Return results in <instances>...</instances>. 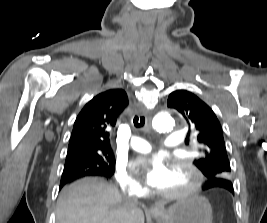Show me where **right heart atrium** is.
I'll use <instances>...</instances> for the list:
<instances>
[{
  "label": "right heart atrium",
  "mask_w": 267,
  "mask_h": 223,
  "mask_svg": "<svg viewBox=\"0 0 267 223\" xmlns=\"http://www.w3.org/2000/svg\"><path fill=\"white\" fill-rule=\"evenodd\" d=\"M115 180L121 189L131 196H140L143 188L139 181L132 176L126 165L118 163L115 168Z\"/></svg>",
  "instance_id": "d8ad5b80"
}]
</instances>
